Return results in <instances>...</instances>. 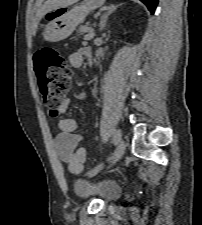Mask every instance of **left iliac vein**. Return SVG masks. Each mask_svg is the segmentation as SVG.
Returning <instances> with one entry per match:
<instances>
[{
    "label": "left iliac vein",
    "mask_w": 202,
    "mask_h": 225,
    "mask_svg": "<svg viewBox=\"0 0 202 225\" xmlns=\"http://www.w3.org/2000/svg\"><path fill=\"white\" fill-rule=\"evenodd\" d=\"M116 134L118 135V132H116ZM125 148H126V145H125L124 140L119 139L116 150H115L114 155H113L112 163H115L116 161H118L123 156V154L125 152Z\"/></svg>",
    "instance_id": "obj_1"
}]
</instances>
